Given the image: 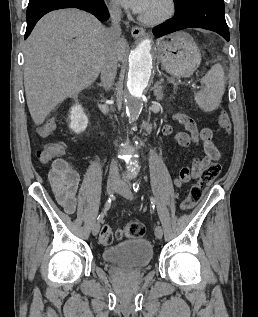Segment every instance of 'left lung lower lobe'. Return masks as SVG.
<instances>
[{
  "instance_id": "obj_1",
  "label": "left lung lower lobe",
  "mask_w": 258,
  "mask_h": 317,
  "mask_svg": "<svg viewBox=\"0 0 258 317\" xmlns=\"http://www.w3.org/2000/svg\"><path fill=\"white\" fill-rule=\"evenodd\" d=\"M224 11L223 0H190L181 9H176L175 18L155 27L153 33L155 37H161L186 28H203L217 32L229 41Z\"/></svg>"
}]
</instances>
